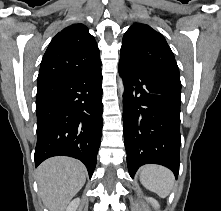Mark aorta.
<instances>
[{
	"instance_id": "1",
	"label": "aorta",
	"mask_w": 221,
	"mask_h": 211,
	"mask_svg": "<svg viewBox=\"0 0 221 211\" xmlns=\"http://www.w3.org/2000/svg\"><path fill=\"white\" fill-rule=\"evenodd\" d=\"M118 89H119L120 96L122 97L124 93V84L121 78L118 79Z\"/></svg>"
}]
</instances>
